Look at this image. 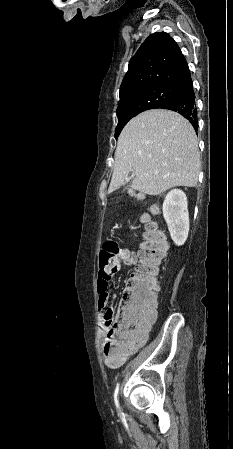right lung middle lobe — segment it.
I'll use <instances>...</instances> for the list:
<instances>
[{
    "instance_id": "obj_1",
    "label": "right lung middle lobe",
    "mask_w": 233,
    "mask_h": 449,
    "mask_svg": "<svg viewBox=\"0 0 233 449\" xmlns=\"http://www.w3.org/2000/svg\"><path fill=\"white\" fill-rule=\"evenodd\" d=\"M179 96V88L157 85L120 97L117 107L118 124L115 130V138L119 136L127 122L137 114L145 110L158 108L163 103Z\"/></svg>"
}]
</instances>
